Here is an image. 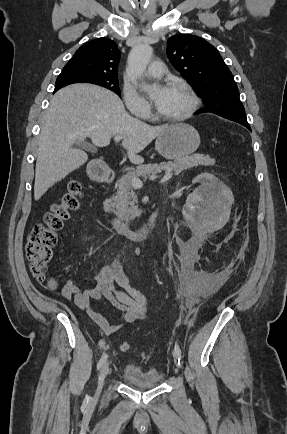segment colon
I'll list each match as a JSON object with an SVG mask.
<instances>
[{
    "instance_id": "1",
    "label": "colon",
    "mask_w": 287,
    "mask_h": 434,
    "mask_svg": "<svg viewBox=\"0 0 287 434\" xmlns=\"http://www.w3.org/2000/svg\"><path fill=\"white\" fill-rule=\"evenodd\" d=\"M83 187L79 180H71L66 191L53 203L45 213L42 222L34 225L26 245V255L32 276L49 290L57 288V281L50 274L48 265L53 259L54 247L58 241V233L71 219L72 214L80 207ZM130 344L124 342L120 350L126 352ZM146 355L145 358H148Z\"/></svg>"
}]
</instances>
